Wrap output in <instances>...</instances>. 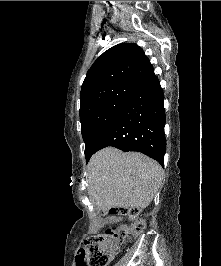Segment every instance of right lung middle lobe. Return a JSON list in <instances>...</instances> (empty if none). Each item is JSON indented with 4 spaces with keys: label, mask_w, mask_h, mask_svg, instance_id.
Wrapping results in <instances>:
<instances>
[{
    "label": "right lung middle lobe",
    "mask_w": 221,
    "mask_h": 266,
    "mask_svg": "<svg viewBox=\"0 0 221 266\" xmlns=\"http://www.w3.org/2000/svg\"><path fill=\"white\" fill-rule=\"evenodd\" d=\"M138 88L134 85L102 88L81 99L80 121L86 160L91 157L104 133L117 119Z\"/></svg>",
    "instance_id": "right-lung-middle-lobe-1"
}]
</instances>
